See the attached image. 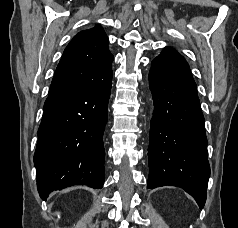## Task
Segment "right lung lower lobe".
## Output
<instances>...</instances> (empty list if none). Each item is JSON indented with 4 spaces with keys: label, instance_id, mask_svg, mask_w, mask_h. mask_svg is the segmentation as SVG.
<instances>
[{
    "label": "right lung lower lobe",
    "instance_id": "right-lung-lower-lobe-1",
    "mask_svg": "<svg viewBox=\"0 0 238 228\" xmlns=\"http://www.w3.org/2000/svg\"><path fill=\"white\" fill-rule=\"evenodd\" d=\"M112 75L110 69L98 83L47 97L34 155L43 200L50 192L73 185L102 188Z\"/></svg>",
    "mask_w": 238,
    "mask_h": 228
}]
</instances>
